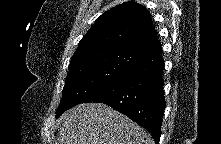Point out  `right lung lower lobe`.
Returning <instances> with one entry per match:
<instances>
[{"label": "right lung lower lobe", "instance_id": "98d812e1", "mask_svg": "<svg viewBox=\"0 0 221 144\" xmlns=\"http://www.w3.org/2000/svg\"><path fill=\"white\" fill-rule=\"evenodd\" d=\"M159 46L127 72L88 97L84 103H104L145 128L159 143L165 110L164 61Z\"/></svg>", "mask_w": 221, "mask_h": 144}]
</instances>
